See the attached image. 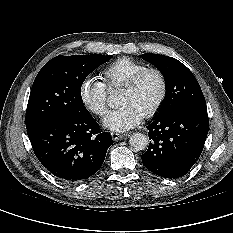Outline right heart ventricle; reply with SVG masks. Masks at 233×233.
Returning <instances> with one entry per match:
<instances>
[{
  "instance_id": "1",
  "label": "right heart ventricle",
  "mask_w": 233,
  "mask_h": 233,
  "mask_svg": "<svg viewBox=\"0 0 233 233\" xmlns=\"http://www.w3.org/2000/svg\"><path fill=\"white\" fill-rule=\"evenodd\" d=\"M145 68L144 63L131 58H118L104 69L103 79L110 89L122 88L134 74Z\"/></svg>"
}]
</instances>
